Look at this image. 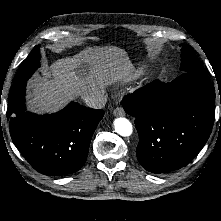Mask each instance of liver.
Wrapping results in <instances>:
<instances>
[{"label":"liver","instance_id":"obj_1","mask_svg":"<svg viewBox=\"0 0 221 221\" xmlns=\"http://www.w3.org/2000/svg\"><path fill=\"white\" fill-rule=\"evenodd\" d=\"M132 72L126 52L116 46L89 47L53 62L43 76L29 81V110L56 112L75 97L104 95L105 88L125 80Z\"/></svg>","mask_w":221,"mask_h":221}]
</instances>
